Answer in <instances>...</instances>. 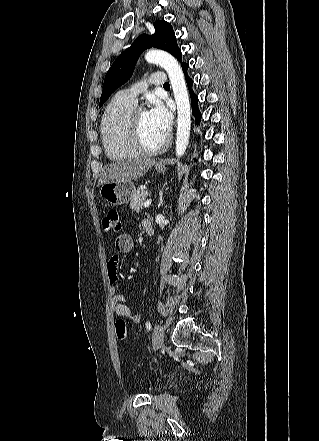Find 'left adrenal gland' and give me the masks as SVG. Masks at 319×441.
Instances as JSON below:
<instances>
[{"mask_svg":"<svg viewBox=\"0 0 319 441\" xmlns=\"http://www.w3.org/2000/svg\"><path fill=\"white\" fill-rule=\"evenodd\" d=\"M163 203H164V201H163V193L161 192L158 206L159 207L163 206Z\"/></svg>","mask_w":319,"mask_h":441,"instance_id":"left-adrenal-gland-1","label":"left adrenal gland"}]
</instances>
